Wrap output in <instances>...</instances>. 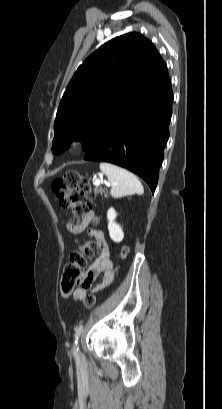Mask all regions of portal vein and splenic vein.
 I'll list each match as a JSON object with an SVG mask.
<instances>
[{
  "label": "portal vein and splenic vein",
  "instance_id": "obj_1",
  "mask_svg": "<svg viewBox=\"0 0 222 409\" xmlns=\"http://www.w3.org/2000/svg\"><path fill=\"white\" fill-rule=\"evenodd\" d=\"M103 182H104L103 180L96 179V180L94 181V184H95L96 186H99V185H100L101 183H103ZM105 184H106V186H108V187L113 186V184L108 183V182H106Z\"/></svg>",
  "mask_w": 222,
  "mask_h": 409
}]
</instances>
